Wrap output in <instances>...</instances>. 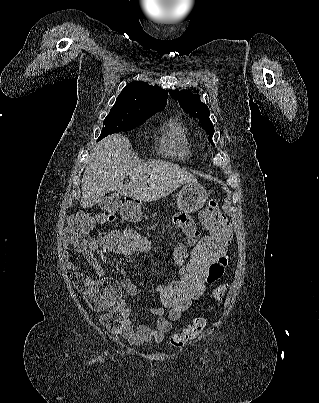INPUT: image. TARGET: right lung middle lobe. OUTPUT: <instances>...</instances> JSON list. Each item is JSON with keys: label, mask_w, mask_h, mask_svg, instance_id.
<instances>
[{"label": "right lung middle lobe", "mask_w": 319, "mask_h": 403, "mask_svg": "<svg viewBox=\"0 0 319 403\" xmlns=\"http://www.w3.org/2000/svg\"><path fill=\"white\" fill-rule=\"evenodd\" d=\"M148 118L149 117H133L122 111L111 109L107 117L104 119L103 129L98 140H101L109 134L134 129Z\"/></svg>", "instance_id": "dd1d6c3e"}]
</instances>
